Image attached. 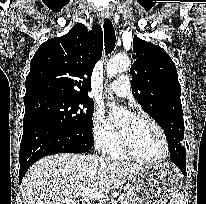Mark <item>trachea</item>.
<instances>
[{"mask_svg":"<svg viewBox=\"0 0 206 204\" xmlns=\"http://www.w3.org/2000/svg\"><path fill=\"white\" fill-rule=\"evenodd\" d=\"M104 28V42L106 54L111 53L115 48L116 36L112 22L106 18L103 24Z\"/></svg>","mask_w":206,"mask_h":204,"instance_id":"3493384b","label":"trachea"}]
</instances>
